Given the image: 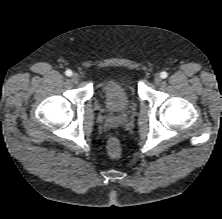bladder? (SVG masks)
<instances>
[{"mask_svg": "<svg viewBox=\"0 0 222 219\" xmlns=\"http://www.w3.org/2000/svg\"><path fill=\"white\" fill-rule=\"evenodd\" d=\"M99 93L105 107L111 112H122L132 100L128 83L122 79L106 78L99 83Z\"/></svg>", "mask_w": 222, "mask_h": 219, "instance_id": "31cf9c89", "label": "bladder"}]
</instances>
